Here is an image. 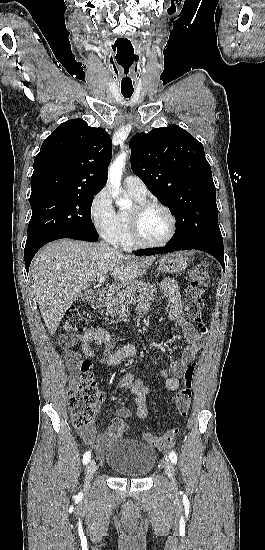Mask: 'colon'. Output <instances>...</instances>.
Segmentation results:
<instances>
[{
  "mask_svg": "<svg viewBox=\"0 0 265 550\" xmlns=\"http://www.w3.org/2000/svg\"><path fill=\"white\" fill-rule=\"evenodd\" d=\"M209 282V266L206 262L196 264L188 273L185 310L188 319L199 330L206 332L202 318L203 295ZM87 328V322L77 308L67 310L62 330L66 334L81 333ZM197 362H192L183 374V386L174 397L176 409L182 417L188 414L191 400L193 379ZM81 375L68 393V407L71 413L72 423L77 428H87L94 424L96 412L103 402L104 392L101 391L94 380L91 372V363L83 361L80 366ZM128 425L120 418L115 417L109 423V433L113 436H122L127 432ZM179 430L174 427L167 433L156 436L145 433L144 439L153 447L165 449L171 446Z\"/></svg>",
  "mask_w": 265,
  "mask_h": 550,
  "instance_id": "1",
  "label": "colon"
}]
</instances>
